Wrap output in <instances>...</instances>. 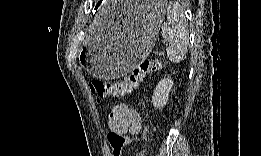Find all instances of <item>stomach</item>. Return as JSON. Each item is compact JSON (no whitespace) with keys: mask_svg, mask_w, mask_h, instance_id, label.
Instances as JSON below:
<instances>
[{"mask_svg":"<svg viewBox=\"0 0 261 156\" xmlns=\"http://www.w3.org/2000/svg\"><path fill=\"white\" fill-rule=\"evenodd\" d=\"M165 9L157 2L138 3L128 21L104 31L96 25L80 60L89 72L103 79L125 75L146 59L155 45Z\"/></svg>","mask_w":261,"mask_h":156,"instance_id":"obj_1","label":"stomach"}]
</instances>
